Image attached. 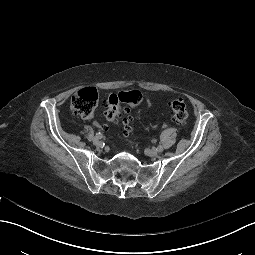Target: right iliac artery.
<instances>
[{
	"label": "right iliac artery",
	"mask_w": 255,
	"mask_h": 255,
	"mask_svg": "<svg viewBox=\"0 0 255 255\" xmlns=\"http://www.w3.org/2000/svg\"><path fill=\"white\" fill-rule=\"evenodd\" d=\"M96 137H98L99 139H101V138L103 137V135H102L100 132H98V133H96Z\"/></svg>",
	"instance_id": "right-iliac-artery-1"
}]
</instances>
